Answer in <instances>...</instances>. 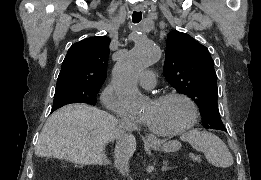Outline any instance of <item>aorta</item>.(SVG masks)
<instances>
[{
  "label": "aorta",
  "instance_id": "obj_1",
  "mask_svg": "<svg viewBox=\"0 0 261 180\" xmlns=\"http://www.w3.org/2000/svg\"><path fill=\"white\" fill-rule=\"evenodd\" d=\"M161 58V51L150 41L137 43L115 64L113 85L120 103L129 111H138L144 105V98L137 88L139 73Z\"/></svg>",
  "mask_w": 261,
  "mask_h": 180
}]
</instances>
